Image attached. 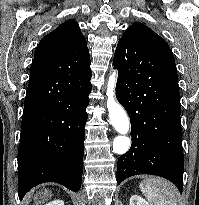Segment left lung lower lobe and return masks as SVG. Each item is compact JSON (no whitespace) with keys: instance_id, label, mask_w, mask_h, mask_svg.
I'll return each mask as SVG.
<instances>
[{"instance_id":"left-lung-lower-lobe-1","label":"left lung lower lobe","mask_w":199,"mask_h":205,"mask_svg":"<svg viewBox=\"0 0 199 205\" xmlns=\"http://www.w3.org/2000/svg\"><path fill=\"white\" fill-rule=\"evenodd\" d=\"M114 66L119 71L116 97L131 121L132 144L117 163V182L152 174L183 189L184 156L177 70L156 46L125 32Z\"/></svg>"}]
</instances>
